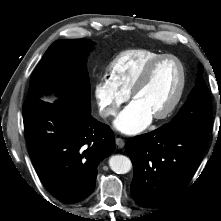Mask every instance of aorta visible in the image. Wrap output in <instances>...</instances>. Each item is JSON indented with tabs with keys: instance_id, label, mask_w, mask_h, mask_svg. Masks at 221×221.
I'll use <instances>...</instances> for the list:
<instances>
[{
	"instance_id": "aorta-1",
	"label": "aorta",
	"mask_w": 221,
	"mask_h": 221,
	"mask_svg": "<svg viewBox=\"0 0 221 221\" xmlns=\"http://www.w3.org/2000/svg\"><path fill=\"white\" fill-rule=\"evenodd\" d=\"M109 166L117 174H126L132 168L131 160L124 155H113L109 159Z\"/></svg>"
}]
</instances>
